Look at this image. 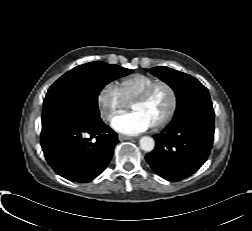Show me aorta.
Masks as SVG:
<instances>
[{
	"mask_svg": "<svg viewBox=\"0 0 252 231\" xmlns=\"http://www.w3.org/2000/svg\"><path fill=\"white\" fill-rule=\"evenodd\" d=\"M140 147L146 152H151L155 147V141L150 136H143L139 141Z\"/></svg>",
	"mask_w": 252,
	"mask_h": 231,
	"instance_id": "obj_1",
	"label": "aorta"
}]
</instances>
